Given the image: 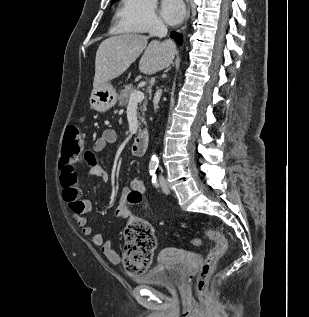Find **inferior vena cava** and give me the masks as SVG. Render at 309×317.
Listing matches in <instances>:
<instances>
[{
  "label": "inferior vena cava",
  "mask_w": 309,
  "mask_h": 317,
  "mask_svg": "<svg viewBox=\"0 0 309 317\" xmlns=\"http://www.w3.org/2000/svg\"><path fill=\"white\" fill-rule=\"evenodd\" d=\"M167 27L164 25V23L157 21L151 31H150V35L151 36H157V37H165L167 35ZM162 91L161 89L157 90L156 92V97H159L161 95ZM155 109L157 108V102L154 104Z\"/></svg>",
  "instance_id": "602c4592"
}]
</instances>
